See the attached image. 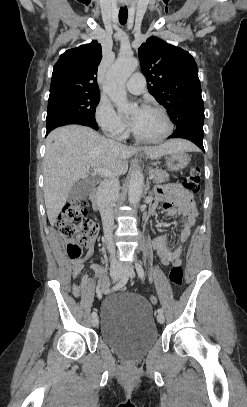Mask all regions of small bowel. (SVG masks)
Here are the masks:
<instances>
[{
    "label": "small bowel",
    "instance_id": "c3829d8e",
    "mask_svg": "<svg viewBox=\"0 0 247 407\" xmlns=\"http://www.w3.org/2000/svg\"><path fill=\"white\" fill-rule=\"evenodd\" d=\"M156 195L159 201H161L162 208L166 211L167 216H185V219L181 223L179 242L175 248H170L168 246V234H162L155 237L152 240V246L159 254L162 264H180L183 245L188 242L191 230L195 225L197 210L194 200L190 194L186 193L177 184H168L158 188ZM93 253L94 247L93 245H89L87 254L84 258L74 259L70 262L71 277L75 279L81 276L80 284H74L72 286L73 295L76 297L86 294L97 280L99 274L104 270L101 265L91 264L90 268L94 271V275L92 277L81 275L86 261L91 258ZM97 289L100 293L106 292V281H102Z\"/></svg>",
    "mask_w": 247,
    "mask_h": 407
}]
</instances>
